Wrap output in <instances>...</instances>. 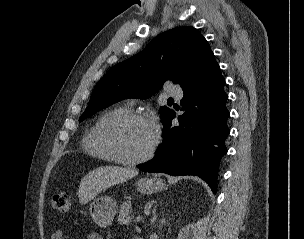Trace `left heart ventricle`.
<instances>
[{
    "mask_svg": "<svg viewBox=\"0 0 304 239\" xmlns=\"http://www.w3.org/2000/svg\"><path fill=\"white\" fill-rule=\"evenodd\" d=\"M154 133L150 124L134 121L120 127L115 141L120 154L126 158L143 155L152 144Z\"/></svg>",
    "mask_w": 304,
    "mask_h": 239,
    "instance_id": "1",
    "label": "left heart ventricle"
}]
</instances>
